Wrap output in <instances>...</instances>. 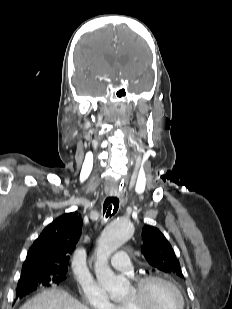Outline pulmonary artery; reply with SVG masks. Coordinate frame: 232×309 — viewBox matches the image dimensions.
I'll return each mask as SVG.
<instances>
[{
	"instance_id": "e3ab8cb5",
	"label": "pulmonary artery",
	"mask_w": 232,
	"mask_h": 309,
	"mask_svg": "<svg viewBox=\"0 0 232 309\" xmlns=\"http://www.w3.org/2000/svg\"><path fill=\"white\" fill-rule=\"evenodd\" d=\"M111 265L118 271L125 272L129 275L133 273V266L128 251L121 250L117 252L111 260Z\"/></svg>"
}]
</instances>
